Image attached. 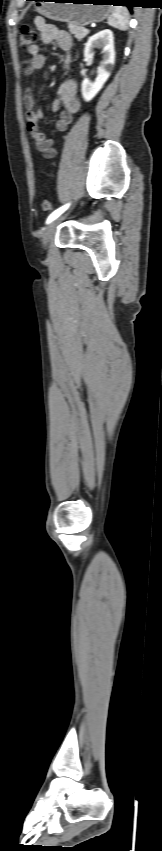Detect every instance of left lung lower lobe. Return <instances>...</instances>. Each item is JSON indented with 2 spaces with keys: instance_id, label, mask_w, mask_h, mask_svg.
<instances>
[{
  "instance_id": "obj_1",
  "label": "left lung lower lobe",
  "mask_w": 162,
  "mask_h": 851,
  "mask_svg": "<svg viewBox=\"0 0 162 851\" xmlns=\"http://www.w3.org/2000/svg\"><path fill=\"white\" fill-rule=\"evenodd\" d=\"M29 1H32V0H29ZM35 1H38V0H35ZM105 3H110L112 5H123V6H127L128 8L133 7L131 5V3H129V0H105Z\"/></svg>"
}]
</instances>
